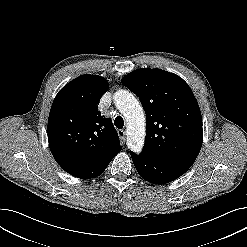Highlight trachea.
<instances>
[{"label": "trachea", "instance_id": "obj_1", "mask_svg": "<svg viewBox=\"0 0 247 247\" xmlns=\"http://www.w3.org/2000/svg\"><path fill=\"white\" fill-rule=\"evenodd\" d=\"M114 125L116 126V128L122 129L124 126L123 118L121 116H117L114 120Z\"/></svg>", "mask_w": 247, "mask_h": 247}]
</instances>
